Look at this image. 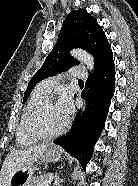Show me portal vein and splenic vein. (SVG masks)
<instances>
[{"label":"portal vein and splenic vein","mask_w":138,"mask_h":186,"mask_svg":"<svg viewBox=\"0 0 138 186\" xmlns=\"http://www.w3.org/2000/svg\"><path fill=\"white\" fill-rule=\"evenodd\" d=\"M53 178H54L53 174H50L47 180L44 182V186H48V184L52 182Z\"/></svg>","instance_id":"obj_1"}]
</instances>
